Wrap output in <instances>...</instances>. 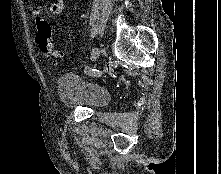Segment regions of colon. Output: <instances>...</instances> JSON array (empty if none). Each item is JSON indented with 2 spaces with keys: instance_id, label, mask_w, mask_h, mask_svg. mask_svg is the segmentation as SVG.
Masks as SVG:
<instances>
[{
  "instance_id": "1",
  "label": "colon",
  "mask_w": 221,
  "mask_h": 174,
  "mask_svg": "<svg viewBox=\"0 0 221 174\" xmlns=\"http://www.w3.org/2000/svg\"><path fill=\"white\" fill-rule=\"evenodd\" d=\"M36 43L46 58L54 59L60 55L54 45L52 26L47 20H37Z\"/></svg>"
}]
</instances>
